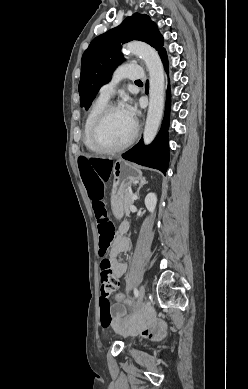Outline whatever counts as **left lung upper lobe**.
<instances>
[{
    "instance_id": "left-lung-upper-lobe-1",
    "label": "left lung upper lobe",
    "mask_w": 248,
    "mask_h": 389,
    "mask_svg": "<svg viewBox=\"0 0 248 389\" xmlns=\"http://www.w3.org/2000/svg\"><path fill=\"white\" fill-rule=\"evenodd\" d=\"M140 40L154 47L158 52L164 40L157 25L148 15L134 13L118 27L94 38L85 50L81 61L79 83L80 106L88 109L101 86L108 83L114 69L124 60L122 44Z\"/></svg>"
}]
</instances>
